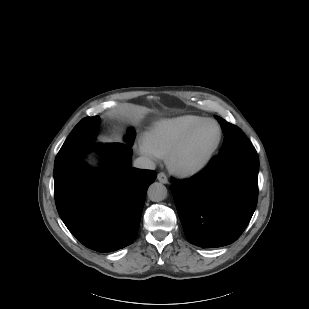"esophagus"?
<instances>
[{"label": "esophagus", "mask_w": 309, "mask_h": 309, "mask_svg": "<svg viewBox=\"0 0 309 309\" xmlns=\"http://www.w3.org/2000/svg\"><path fill=\"white\" fill-rule=\"evenodd\" d=\"M157 179H158V181H160L163 184H167L168 183V178H167L166 174L163 173V172L158 173Z\"/></svg>", "instance_id": "34e87169"}]
</instances>
